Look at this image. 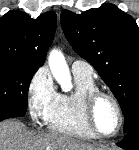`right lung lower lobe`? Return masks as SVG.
<instances>
[{
    "label": "right lung lower lobe",
    "instance_id": "obj_1",
    "mask_svg": "<svg viewBox=\"0 0 139 150\" xmlns=\"http://www.w3.org/2000/svg\"><path fill=\"white\" fill-rule=\"evenodd\" d=\"M7 118H11V115H6V116H3V117H0V121L3 120V119H7Z\"/></svg>",
    "mask_w": 139,
    "mask_h": 150
}]
</instances>
